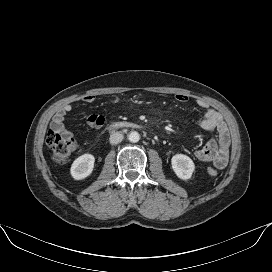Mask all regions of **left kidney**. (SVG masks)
Here are the masks:
<instances>
[{
    "label": "left kidney",
    "mask_w": 272,
    "mask_h": 272,
    "mask_svg": "<svg viewBox=\"0 0 272 272\" xmlns=\"http://www.w3.org/2000/svg\"><path fill=\"white\" fill-rule=\"evenodd\" d=\"M172 169L178 178L187 180L192 177L195 165L192 159L184 154H176L171 159Z\"/></svg>",
    "instance_id": "obj_1"
}]
</instances>
